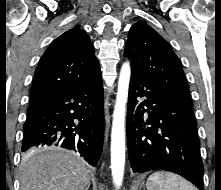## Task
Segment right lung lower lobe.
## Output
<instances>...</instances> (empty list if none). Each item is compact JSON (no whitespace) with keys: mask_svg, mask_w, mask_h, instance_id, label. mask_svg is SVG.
Returning a JSON list of instances; mask_svg holds the SVG:
<instances>
[{"mask_svg":"<svg viewBox=\"0 0 221 190\" xmlns=\"http://www.w3.org/2000/svg\"><path fill=\"white\" fill-rule=\"evenodd\" d=\"M104 98L101 74L29 105L22 151L59 146L96 166L103 149Z\"/></svg>","mask_w":221,"mask_h":190,"instance_id":"obj_1","label":"right lung lower lobe"}]
</instances>
